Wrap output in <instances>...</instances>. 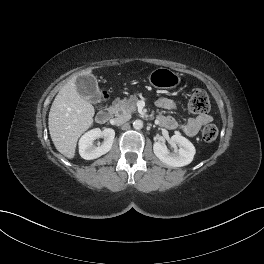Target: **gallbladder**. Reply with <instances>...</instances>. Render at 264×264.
<instances>
[{
	"label": "gallbladder",
	"mask_w": 264,
	"mask_h": 264,
	"mask_svg": "<svg viewBox=\"0 0 264 264\" xmlns=\"http://www.w3.org/2000/svg\"><path fill=\"white\" fill-rule=\"evenodd\" d=\"M78 93L91 103L100 102L102 99L97 80L93 75H82L76 79Z\"/></svg>",
	"instance_id": "gallbladder-1"
}]
</instances>
